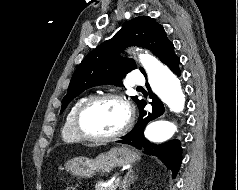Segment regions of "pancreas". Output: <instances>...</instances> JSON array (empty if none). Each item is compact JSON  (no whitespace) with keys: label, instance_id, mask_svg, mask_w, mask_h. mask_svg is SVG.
<instances>
[{"label":"pancreas","instance_id":"cf45deb5","mask_svg":"<svg viewBox=\"0 0 238 190\" xmlns=\"http://www.w3.org/2000/svg\"><path fill=\"white\" fill-rule=\"evenodd\" d=\"M118 185L119 184L118 183L116 184L115 182L109 186H102L101 184L98 183L95 186V190H116Z\"/></svg>","mask_w":238,"mask_h":190}]
</instances>
